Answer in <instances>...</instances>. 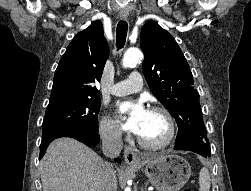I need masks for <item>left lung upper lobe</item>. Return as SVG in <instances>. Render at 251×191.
<instances>
[{
  "label": "left lung upper lobe",
  "instance_id": "5c2ea615",
  "mask_svg": "<svg viewBox=\"0 0 251 191\" xmlns=\"http://www.w3.org/2000/svg\"><path fill=\"white\" fill-rule=\"evenodd\" d=\"M141 49L145 55L142 71L148 86L177 122L175 144L190 139L209 144L199 93L175 39L158 23L148 21L141 30Z\"/></svg>",
  "mask_w": 251,
  "mask_h": 191
}]
</instances>
